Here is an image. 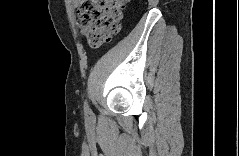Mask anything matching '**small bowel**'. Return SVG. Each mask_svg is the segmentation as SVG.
<instances>
[{
	"mask_svg": "<svg viewBox=\"0 0 239 156\" xmlns=\"http://www.w3.org/2000/svg\"><path fill=\"white\" fill-rule=\"evenodd\" d=\"M74 3L77 5L80 3V0H76V1H74Z\"/></svg>",
	"mask_w": 239,
	"mask_h": 156,
	"instance_id": "obj_1",
	"label": "small bowel"
}]
</instances>
